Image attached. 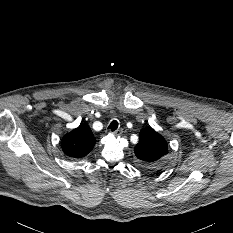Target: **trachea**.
I'll return each mask as SVG.
<instances>
[{"instance_id": "obj_1", "label": "trachea", "mask_w": 233, "mask_h": 233, "mask_svg": "<svg viewBox=\"0 0 233 233\" xmlns=\"http://www.w3.org/2000/svg\"><path fill=\"white\" fill-rule=\"evenodd\" d=\"M111 131H115L118 128V122L116 120H113L109 127H108Z\"/></svg>"}]
</instances>
